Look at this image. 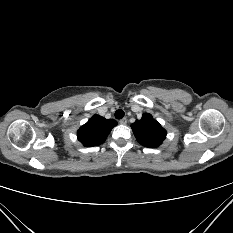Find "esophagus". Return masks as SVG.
Returning <instances> with one entry per match:
<instances>
[{"mask_svg":"<svg viewBox=\"0 0 233 233\" xmlns=\"http://www.w3.org/2000/svg\"><path fill=\"white\" fill-rule=\"evenodd\" d=\"M119 123L121 125H125L127 123V119L126 118H122L121 120H119Z\"/></svg>","mask_w":233,"mask_h":233,"instance_id":"obj_1","label":"esophagus"}]
</instances>
